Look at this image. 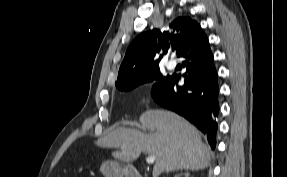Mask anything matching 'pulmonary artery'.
<instances>
[{"instance_id":"e3ab8cb5","label":"pulmonary artery","mask_w":287,"mask_h":177,"mask_svg":"<svg viewBox=\"0 0 287 177\" xmlns=\"http://www.w3.org/2000/svg\"><path fill=\"white\" fill-rule=\"evenodd\" d=\"M167 68L172 70L176 67V62L174 60H169L166 64Z\"/></svg>"}]
</instances>
